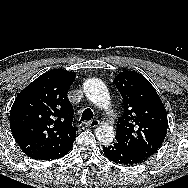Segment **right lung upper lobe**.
<instances>
[{"label": "right lung upper lobe", "instance_id": "obj_1", "mask_svg": "<svg viewBox=\"0 0 188 188\" xmlns=\"http://www.w3.org/2000/svg\"><path fill=\"white\" fill-rule=\"evenodd\" d=\"M75 72L50 70L23 89L10 110L12 134L29 157L75 140L73 106L67 98Z\"/></svg>", "mask_w": 188, "mask_h": 188}]
</instances>
